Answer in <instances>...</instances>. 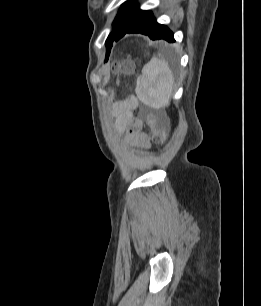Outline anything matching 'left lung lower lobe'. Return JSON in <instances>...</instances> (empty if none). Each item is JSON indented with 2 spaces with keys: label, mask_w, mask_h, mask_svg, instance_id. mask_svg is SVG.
Returning a JSON list of instances; mask_svg holds the SVG:
<instances>
[{
  "label": "left lung lower lobe",
  "mask_w": 261,
  "mask_h": 306,
  "mask_svg": "<svg viewBox=\"0 0 261 306\" xmlns=\"http://www.w3.org/2000/svg\"><path fill=\"white\" fill-rule=\"evenodd\" d=\"M126 33H141L148 35L152 40L164 39L168 42H175L173 33L166 26L157 23L152 13L146 10H139L119 39Z\"/></svg>",
  "instance_id": "obj_1"
}]
</instances>
